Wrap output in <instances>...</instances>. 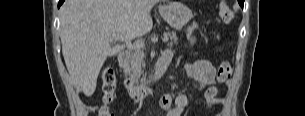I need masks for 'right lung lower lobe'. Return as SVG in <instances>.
<instances>
[{"instance_id": "right-lung-lower-lobe-1", "label": "right lung lower lobe", "mask_w": 305, "mask_h": 116, "mask_svg": "<svg viewBox=\"0 0 305 116\" xmlns=\"http://www.w3.org/2000/svg\"><path fill=\"white\" fill-rule=\"evenodd\" d=\"M64 2V0H59L58 7Z\"/></svg>"}]
</instances>
